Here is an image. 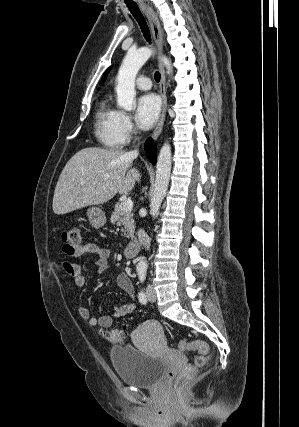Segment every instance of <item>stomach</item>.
<instances>
[{"label":"stomach","mask_w":299,"mask_h":427,"mask_svg":"<svg viewBox=\"0 0 299 427\" xmlns=\"http://www.w3.org/2000/svg\"><path fill=\"white\" fill-rule=\"evenodd\" d=\"M87 216L90 224L95 228H100L106 223V216L102 209L91 207L87 210Z\"/></svg>","instance_id":"stomach-1"}]
</instances>
